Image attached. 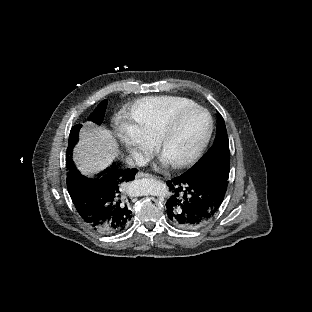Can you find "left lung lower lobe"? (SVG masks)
<instances>
[{"mask_svg":"<svg viewBox=\"0 0 312 312\" xmlns=\"http://www.w3.org/2000/svg\"><path fill=\"white\" fill-rule=\"evenodd\" d=\"M230 165L206 166L195 172L169 180L173 195L166 202L170 221L181 228L192 229L205 225L218 213L224 199Z\"/></svg>","mask_w":312,"mask_h":312,"instance_id":"left-lung-lower-lobe-1","label":"left lung lower lobe"}]
</instances>
